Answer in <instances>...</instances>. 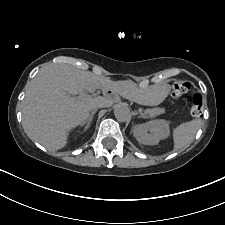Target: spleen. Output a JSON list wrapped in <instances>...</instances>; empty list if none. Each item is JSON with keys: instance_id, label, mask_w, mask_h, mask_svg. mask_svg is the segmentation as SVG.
Masks as SVG:
<instances>
[{"instance_id": "3e777b00", "label": "spleen", "mask_w": 225, "mask_h": 225, "mask_svg": "<svg viewBox=\"0 0 225 225\" xmlns=\"http://www.w3.org/2000/svg\"><path fill=\"white\" fill-rule=\"evenodd\" d=\"M202 124L201 119H193L173 129L174 150L188 147Z\"/></svg>"}]
</instances>
